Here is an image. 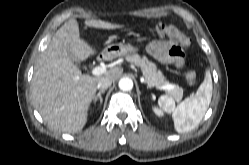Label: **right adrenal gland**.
Returning <instances> with one entry per match:
<instances>
[{"label":"right adrenal gland","mask_w":249,"mask_h":165,"mask_svg":"<svg viewBox=\"0 0 249 165\" xmlns=\"http://www.w3.org/2000/svg\"><path fill=\"white\" fill-rule=\"evenodd\" d=\"M105 93V90H101L94 98H93V103L94 105L96 104V102L99 100L100 102V106L102 105L103 99H102V94Z\"/></svg>","instance_id":"1"}]
</instances>
